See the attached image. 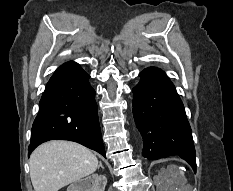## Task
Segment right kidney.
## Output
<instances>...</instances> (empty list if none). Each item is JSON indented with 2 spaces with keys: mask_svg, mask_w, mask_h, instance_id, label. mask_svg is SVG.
<instances>
[{
  "mask_svg": "<svg viewBox=\"0 0 233 191\" xmlns=\"http://www.w3.org/2000/svg\"><path fill=\"white\" fill-rule=\"evenodd\" d=\"M107 179L103 175L92 174L68 187L67 191H104Z\"/></svg>",
  "mask_w": 233,
  "mask_h": 191,
  "instance_id": "obj_1",
  "label": "right kidney"
}]
</instances>
